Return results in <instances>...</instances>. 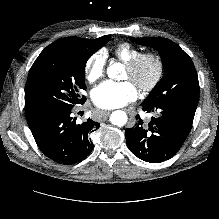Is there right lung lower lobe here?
I'll list each match as a JSON object with an SVG mask.
<instances>
[{"mask_svg": "<svg viewBox=\"0 0 219 219\" xmlns=\"http://www.w3.org/2000/svg\"><path fill=\"white\" fill-rule=\"evenodd\" d=\"M27 120L40 150L60 164H74L86 158L94 147L90 134L100 126L91 119L76 122L73 108L47 111Z\"/></svg>", "mask_w": 219, "mask_h": 219, "instance_id": "right-lung-lower-lobe-1", "label": "right lung lower lobe"}]
</instances>
